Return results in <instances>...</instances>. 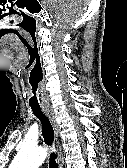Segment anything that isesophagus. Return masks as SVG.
I'll list each match as a JSON object with an SVG mask.
<instances>
[{"label":"esophagus","instance_id":"obj_1","mask_svg":"<svg viewBox=\"0 0 127 168\" xmlns=\"http://www.w3.org/2000/svg\"><path fill=\"white\" fill-rule=\"evenodd\" d=\"M43 111L46 114V116L49 118L55 132L56 139L58 140L59 137V125L56 121L55 114L51 107H43ZM57 160L59 164V168H63V157H62V151L59 140L57 141Z\"/></svg>","mask_w":127,"mask_h":168}]
</instances>
